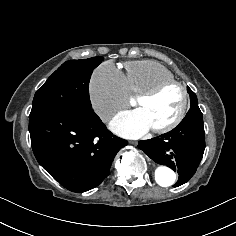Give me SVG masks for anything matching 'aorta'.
Segmentation results:
<instances>
[{
  "label": "aorta",
  "mask_w": 236,
  "mask_h": 236,
  "mask_svg": "<svg viewBox=\"0 0 236 236\" xmlns=\"http://www.w3.org/2000/svg\"><path fill=\"white\" fill-rule=\"evenodd\" d=\"M155 180L162 187H169L176 181L175 172L165 165H159L155 170Z\"/></svg>",
  "instance_id": "762f6f07"
}]
</instances>
